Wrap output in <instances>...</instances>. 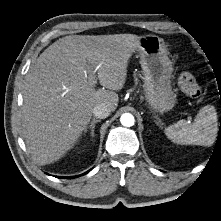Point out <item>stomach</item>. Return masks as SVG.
I'll return each mask as SVG.
<instances>
[{"mask_svg": "<svg viewBox=\"0 0 221 221\" xmlns=\"http://www.w3.org/2000/svg\"><path fill=\"white\" fill-rule=\"evenodd\" d=\"M137 50L148 104L154 111L171 110L176 103V94L171 87L173 67L163 39L156 35L143 36Z\"/></svg>", "mask_w": 221, "mask_h": 221, "instance_id": "0dacf381", "label": "stomach"}]
</instances>
